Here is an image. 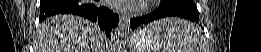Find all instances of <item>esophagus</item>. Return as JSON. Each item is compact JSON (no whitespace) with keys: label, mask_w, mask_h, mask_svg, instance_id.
<instances>
[{"label":"esophagus","mask_w":261,"mask_h":52,"mask_svg":"<svg viewBox=\"0 0 261 52\" xmlns=\"http://www.w3.org/2000/svg\"><path fill=\"white\" fill-rule=\"evenodd\" d=\"M130 17L127 14H121L119 20V27L126 30L129 26Z\"/></svg>","instance_id":"esophagus-1"}]
</instances>
